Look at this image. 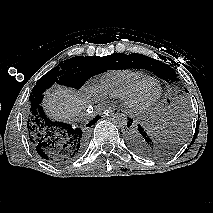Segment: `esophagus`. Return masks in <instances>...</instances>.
<instances>
[{"label": "esophagus", "instance_id": "1", "mask_svg": "<svg viewBox=\"0 0 213 213\" xmlns=\"http://www.w3.org/2000/svg\"><path fill=\"white\" fill-rule=\"evenodd\" d=\"M118 112H119L118 109H116L114 107H110L104 111V114L107 116H112L113 114H117Z\"/></svg>", "mask_w": 213, "mask_h": 213}]
</instances>
